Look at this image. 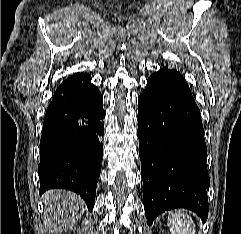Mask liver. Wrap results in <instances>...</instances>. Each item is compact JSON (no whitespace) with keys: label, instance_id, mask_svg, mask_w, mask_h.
<instances>
[{"label":"liver","instance_id":"6515ba94","mask_svg":"<svg viewBox=\"0 0 241 234\" xmlns=\"http://www.w3.org/2000/svg\"><path fill=\"white\" fill-rule=\"evenodd\" d=\"M42 199L45 206L43 225L49 233L59 234L73 228L85 209L84 201L70 191L49 190Z\"/></svg>","mask_w":241,"mask_h":234}]
</instances>
